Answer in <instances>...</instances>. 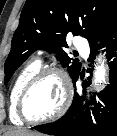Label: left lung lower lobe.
<instances>
[{"label":"left lung lower lobe","instance_id":"0a47b994","mask_svg":"<svg viewBox=\"0 0 117 136\" xmlns=\"http://www.w3.org/2000/svg\"><path fill=\"white\" fill-rule=\"evenodd\" d=\"M106 47L110 67L109 85L83 105V98L76 92L73 103L66 114L59 120L35 126L39 132L55 136H117V19L97 40ZM97 41L90 44V58L93 60L100 46ZM80 75V74H79ZM79 76L73 80V85ZM89 82L84 81L83 92Z\"/></svg>","mask_w":117,"mask_h":136}]
</instances>
